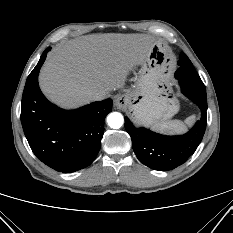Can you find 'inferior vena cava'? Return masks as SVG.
Wrapping results in <instances>:
<instances>
[{
    "label": "inferior vena cava",
    "instance_id": "602c4592",
    "mask_svg": "<svg viewBox=\"0 0 233 233\" xmlns=\"http://www.w3.org/2000/svg\"><path fill=\"white\" fill-rule=\"evenodd\" d=\"M107 97V93L105 91H97L95 92L92 96L91 99L93 101H100V100H104Z\"/></svg>",
    "mask_w": 233,
    "mask_h": 233
}]
</instances>
